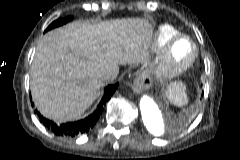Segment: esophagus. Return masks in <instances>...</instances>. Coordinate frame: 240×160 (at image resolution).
<instances>
[{
    "label": "esophagus",
    "instance_id": "1",
    "mask_svg": "<svg viewBox=\"0 0 240 160\" xmlns=\"http://www.w3.org/2000/svg\"><path fill=\"white\" fill-rule=\"evenodd\" d=\"M152 86L151 77L145 73H140L134 80L132 90L136 94L142 93L145 89H149Z\"/></svg>",
    "mask_w": 240,
    "mask_h": 160
}]
</instances>
